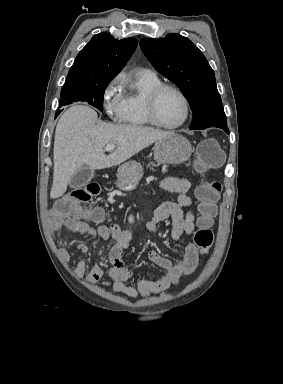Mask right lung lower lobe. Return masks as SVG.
<instances>
[{"label": "right lung lower lobe", "mask_w": 283, "mask_h": 384, "mask_svg": "<svg viewBox=\"0 0 283 384\" xmlns=\"http://www.w3.org/2000/svg\"><path fill=\"white\" fill-rule=\"evenodd\" d=\"M59 114H60V112H57V113H56V115H59Z\"/></svg>", "instance_id": "obj_1"}]
</instances>
